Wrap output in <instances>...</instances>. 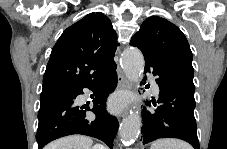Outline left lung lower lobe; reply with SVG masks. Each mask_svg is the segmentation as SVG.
Returning a JSON list of instances; mask_svg holds the SVG:
<instances>
[{"label": "left lung lower lobe", "instance_id": "left-lung-lower-lobe-1", "mask_svg": "<svg viewBox=\"0 0 227 149\" xmlns=\"http://www.w3.org/2000/svg\"><path fill=\"white\" fill-rule=\"evenodd\" d=\"M145 58V72L157 76L159 99L147 101L146 105H157L156 109H142L143 144L158 138H178L190 143L195 149H200L197 137V125L194 117V91L170 75L156 60L150 58L143 45L134 42Z\"/></svg>", "mask_w": 227, "mask_h": 149}]
</instances>
